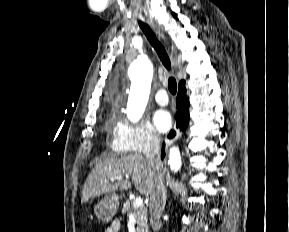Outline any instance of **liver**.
Instances as JSON below:
<instances>
[{
	"instance_id": "1",
	"label": "liver",
	"mask_w": 289,
	"mask_h": 232,
	"mask_svg": "<svg viewBox=\"0 0 289 232\" xmlns=\"http://www.w3.org/2000/svg\"><path fill=\"white\" fill-rule=\"evenodd\" d=\"M158 174H162V168L153 167L146 157L140 154H129L120 158H106L96 164L88 175L82 190L81 202L85 203L93 197L113 194L117 190H127L132 187L143 195L149 196L154 190ZM132 177V184L127 179L110 183L114 176Z\"/></svg>"
}]
</instances>
